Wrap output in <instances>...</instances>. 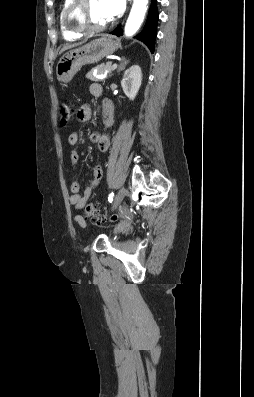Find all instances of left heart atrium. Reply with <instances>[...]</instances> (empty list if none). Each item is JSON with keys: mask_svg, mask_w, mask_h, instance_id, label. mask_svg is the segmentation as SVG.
<instances>
[{"mask_svg": "<svg viewBox=\"0 0 254 397\" xmlns=\"http://www.w3.org/2000/svg\"><path fill=\"white\" fill-rule=\"evenodd\" d=\"M125 0H101L106 15L112 19L119 16L125 9Z\"/></svg>", "mask_w": 254, "mask_h": 397, "instance_id": "obj_1", "label": "left heart atrium"}]
</instances>
